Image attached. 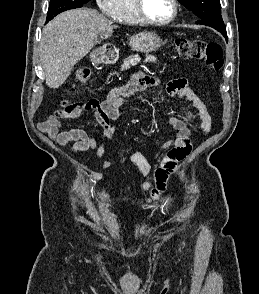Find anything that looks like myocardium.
<instances>
[{"mask_svg":"<svg viewBox=\"0 0 259 294\" xmlns=\"http://www.w3.org/2000/svg\"><path fill=\"white\" fill-rule=\"evenodd\" d=\"M134 1V8L137 17L139 18L141 23L153 25V26H165L170 23H172L178 16L179 12V6L177 0H170L172 4V14L171 16L162 21L153 20L150 17L147 16L145 10H144V0H133Z\"/></svg>","mask_w":259,"mask_h":294,"instance_id":"obj_1","label":"myocardium"}]
</instances>
